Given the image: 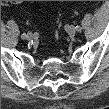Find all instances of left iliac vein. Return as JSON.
<instances>
[{
    "label": "left iliac vein",
    "instance_id": "1",
    "mask_svg": "<svg viewBox=\"0 0 109 109\" xmlns=\"http://www.w3.org/2000/svg\"><path fill=\"white\" fill-rule=\"evenodd\" d=\"M67 32L69 34L70 37H74L76 34V28L75 26L71 25L68 27Z\"/></svg>",
    "mask_w": 109,
    "mask_h": 109
}]
</instances>
